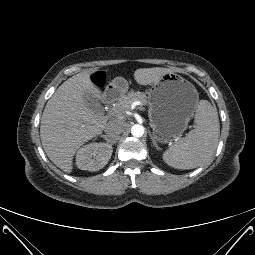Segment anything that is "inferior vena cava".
Masks as SVG:
<instances>
[{"mask_svg": "<svg viewBox=\"0 0 255 255\" xmlns=\"http://www.w3.org/2000/svg\"><path fill=\"white\" fill-rule=\"evenodd\" d=\"M125 122L122 120L109 121L104 128L106 136L109 138L111 143H115L117 137L124 131Z\"/></svg>", "mask_w": 255, "mask_h": 255, "instance_id": "602c4592", "label": "inferior vena cava"}]
</instances>
